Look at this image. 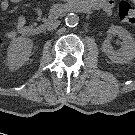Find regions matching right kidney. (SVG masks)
<instances>
[{
    "label": "right kidney",
    "mask_w": 135,
    "mask_h": 135,
    "mask_svg": "<svg viewBox=\"0 0 135 135\" xmlns=\"http://www.w3.org/2000/svg\"><path fill=\"white\" fill-rule=\"evenodd\" d=\"M33 42L26 37H17L10 42L7 52V64L10 70L23 66L31 56Z\"/></svg>",
    "instance_id": "1"
}]
</instances>
